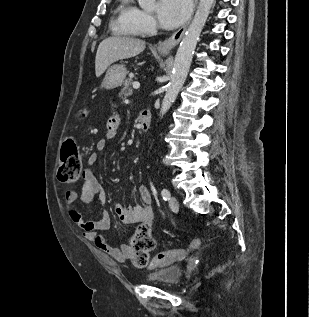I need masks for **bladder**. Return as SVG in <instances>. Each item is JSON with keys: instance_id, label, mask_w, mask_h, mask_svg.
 I'll list each match as a JSON object with an SVG mask.
<instances>
[{"instance_id": "1", "label": "bladder", "mask_w": 309, "mask_h": 317, "mask_svg": "<svg viewBox=\"0 0 309 317\" xmlns=\"http://www.w3.org/2000/svg\"><path fill=\"white\" fill-rule=\"evenodd\" d=\"M182 277V269L177 265H165L146 276V281L164 285H175Z\"/></svg>"}]
</instances>
